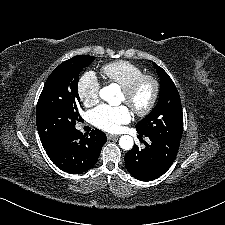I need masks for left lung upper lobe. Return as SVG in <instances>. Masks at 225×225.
Here are the masks:
<instances>
[{
  "instance_id": "left-lung-upper-lobe-1",
  "label": "left lung upper lobe",
  "mask_w": 225,
  "mask_h": 225,
  "mask_svg": "<svg viewBox=\"0 0 225 225\" xmlns=\"http://www.w3.org/2000/svg\"><path fill=\"white\" fill-rule=\"evenodd\" d=\"M160 76V94L155 108L137 125L138 133L165 135L181 140L183 133V113L180 96L169 75L153 62Z\"/></svg>"
}]
</instances>
